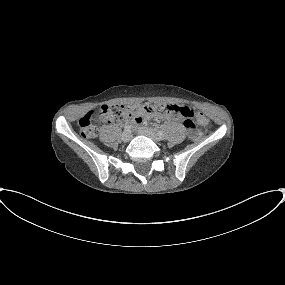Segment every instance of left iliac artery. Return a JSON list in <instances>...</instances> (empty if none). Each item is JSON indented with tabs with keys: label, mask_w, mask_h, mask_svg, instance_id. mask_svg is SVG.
<instances>
[{
	"label": "left iliac artery",
	"mask_w": 285,
	"mask_h": 285,
	"mask_svg": "<svg viewBox=\"0 0 285 285\" xmlns=\"http://www.w3.org/2000/svg\"><path fill=\"white\" fill-rule=\"evenodd\" d=\"M157 134H158L160 137L164 136V133H163V131H161V130H158V131H157Z\"/></svg>",
	"instance_id": "obj_1"
}]
</instances>
